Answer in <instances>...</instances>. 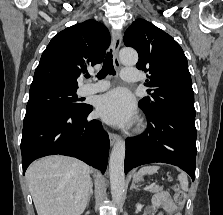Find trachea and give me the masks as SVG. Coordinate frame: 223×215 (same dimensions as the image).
I'll use <instances>...</instances> for the list:
<instances>
[{
  "instance_id": "trachea-1",
  "label": "trachea",
  "mask_w": 223,
  "mask_h": 215,
  "mask_svg": "<svg viewBox=\"0 0 223 215\" xmlns=\"http://www.w3.org/2000/svg\"><path fill=\"white\" fill-rule=\"evenodd\" d=\"M108 74L115 75L111 51L107 53L106 58L103 63V67L98 73L97 78L102 79L106 77V75ZM86 78H90V76L87 75Z\"/></svg>"
}]
</instances>
